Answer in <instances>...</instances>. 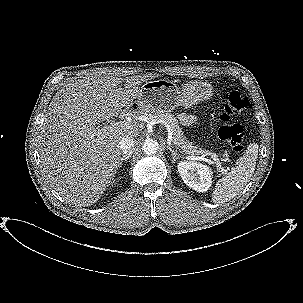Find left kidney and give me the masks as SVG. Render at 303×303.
<instances>
[{
    "label": "left kidney",
    "mask_w": 303,
    "mask_h": 303,
    "mask_svg": "<svg viewBox=\"0 0 303 303\" xmlns=\"http://www.w3.org/2000/svg\"><path fill=\"white\" fill-rule=\"evenodd\" d=\"M178 171L186 185L197 192H206L212 183L209 168L197 162L181 161Z\"/></svg>",
    "instance_id": "1"
}]
</instances>
